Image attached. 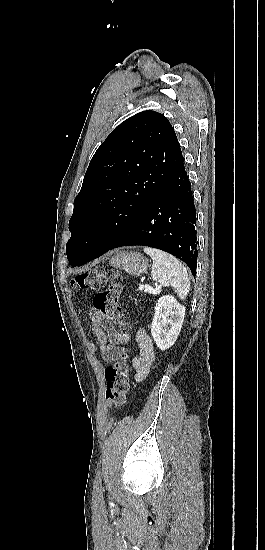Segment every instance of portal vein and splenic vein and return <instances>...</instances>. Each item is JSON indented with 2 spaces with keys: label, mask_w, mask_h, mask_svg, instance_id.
<instances>
[{
  "label": "portal vein and splenic vein",
  "mask_w": 265,
  "mask_h": 550,
  "mask_svg": "<svg viewBox=\"0 0 265 550\" xmlns=\"http://www.w3.org/2000/svg\"><path fill=\"white\" fill-rule=\"evenodd\" d=\"M142 289H145V291L149 292V293H156L157 290L156 289H153L152 287H150L149 285H145V286H142Z\"/></svg>",
  "instance_id": "1"
}]
</instances>
